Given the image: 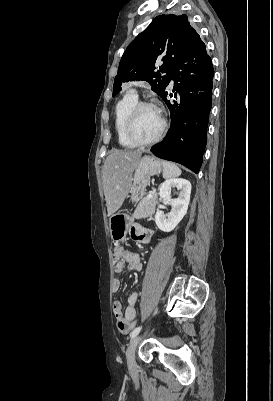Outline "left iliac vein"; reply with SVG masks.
Segmentation results:
<instances>
[{
  "mask_svg": "<svg viewBox=\"0 0 273 401\" xmlns=\"http://www.w3.org/2000/svg\"><path fill=\"white\" fill-rule=\"evenodd\" d=\"M141 340V335H137L134 337V339L131 341L129 347L127 348L126 352V357H127V365L129 372L131 374L137 373V366H136V361H135V351L136 348Z\"/></svg>",
  "mask_w": 273,
  "mask_h": 401,
  "instance_id": "4c4485c4",
  "label": "left iliac vein"
}]
</instances>
